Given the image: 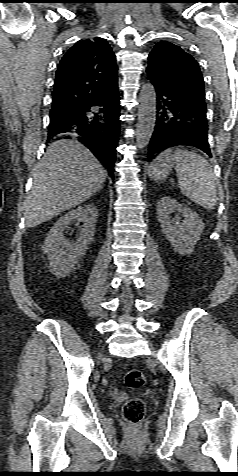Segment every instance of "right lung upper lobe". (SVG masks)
Segmentation results:
<instances>
[{
	"label": "right lung upper lobe",
	"instance_id": "right-lung-upper-lobe-1",
	"mask_svg": "<svg viewBox=\"0 0 238 476\" xmlns=\"http://www.w3.org/2000/svg\"><path fill=\"white\" fill-rule=\"evenodd\" d=\"M116 57L105 39L72 46L57 66L52 109H81L117 86Z\"/></svg>",
	"mask_w": 238,
	"mask_h": 476
}]
</instances>
